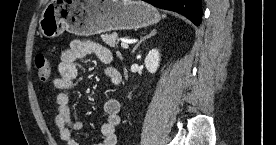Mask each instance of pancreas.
Returning <instances> with one entry per match:
<instances>
[{
    "label": "pancreas",
    "mask_w": 276,
    "mask_h": 145,
    "mask_svg": "<svg viewBox=\"0 0 276 145\" xmlns=\"http://www.w3.org/2000/svg\"><path fill=\"white\" fill-rule=\"evenodd\" d=\"M103 42L110 47H118V35L116 33L101 35Z\"/></svg>",
    "instance_id": "pancreas-1"
}]
</instances>
